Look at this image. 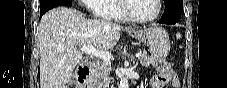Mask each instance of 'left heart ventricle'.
I'll return each instance as SVG.
<instances>
[{"label": "left heart ventricle", "mask_w": 227, "mask_h": 88, "mask_svg": "<svg viewBox=\"0 0 227 88\" xmlns=\"http://www.w3.org/2000/svg\"><path fill=\"white\" fill-rule=\"evenodd\" d=\"M155 0H132L128 2L129 13L136 18H150L156 13Z\"/></svg>", "instance_id": "1"}]
</instances>
